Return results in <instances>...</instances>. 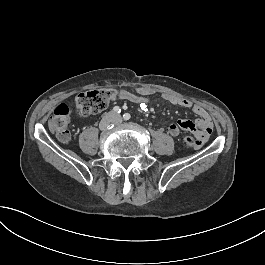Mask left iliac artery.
<instances>
[{"label":"left iliac artery","instance_id":"44dca946","mask_svg":"<svg viewBox=\"0 0 265 265\" xmlns=\"http://www.w3.org/2000/svg\"><path fill=\"white\" fill-rule=\"evenodd\" d=\"M124 120H129L131 118V115L129 113H125L123 115Z\"/></svg>","mask_w":265,"mask_h":265}]
</instances>
